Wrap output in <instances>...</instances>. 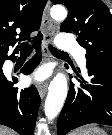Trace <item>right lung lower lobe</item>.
<instances>
[{"instance_id":"1","label":"right lung lower lobe","mask_w":112,"mask_h":135,"mask_svg":"<svg viewBox=\"0 0 112 135\" xmlns=\"http://www.w3.org/2000/svg\"><path fill=\"white\" fill-rule=\"evenodd\" d=\"M37 54L25 64L21 72L30 74L41 60V44H35ZM17 78L7 80L0 71V124L14 129L20 135H33L40 96L35 86L19 90L13 88Z\"/></svg>"}]
</instances>
